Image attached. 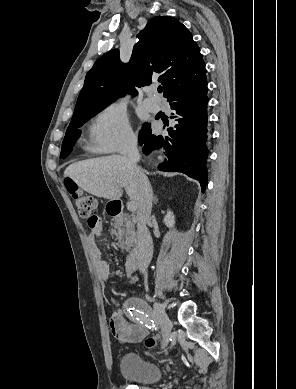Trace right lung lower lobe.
Wrapping results in <instances>:
<instances>
[{"instance_id": "right-lung-lower-lobe-1", "label": "right lung lower lobe", "mask_w": 296, "mask_h": 389, "mask_svg": "<svg viewBox=\"0 0 296 389\" xmlns=\"http://www.w3.org/2000/svg\"><path fill=\"white\" fill-rule=\"evenodd\" d=\"M208 87L191 94L180 95L171 103L175 110L177 124L168 129L169 136L151 132L143 144V152L163 147L167 154L158 169L161 171L182 172L199 181L202 192L207 185L206 160L208 157Z\"/></svg>"}]
</instances>
